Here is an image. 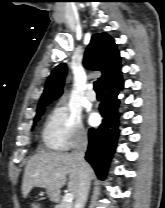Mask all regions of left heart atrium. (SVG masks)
Here are the masks:
<instances>
[{
	"instance_id": "obj_1",
	"label": "left heart atrium",
	"mask_w": 165,
	"mask_h": 208,
	"mask_svg": "<svg viewBox=\"0 0 165 208\" xmlns=\"http://www.w3.org/2000/svg\"><path fill=\"white\" fill-rule=\"evenodd\" d=\"M90 123H94L96 121V116L95 115H91L89 118Z\"/></svg>"
}]
</instances>
